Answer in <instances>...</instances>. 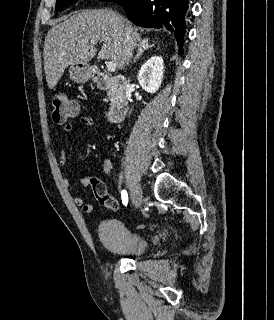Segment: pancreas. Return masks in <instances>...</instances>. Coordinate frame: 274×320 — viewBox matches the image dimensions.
Returning <instances> with one entry per match:
<instances>
[{"instance_id":"1","label":"pancreas","mask_w":274,"mask_h":320,"mask_svg":"<svg viewBox=\"0 0 274 320\" xmlns=\"http://www.w3.org/2000/svg\"><path fill=\"white\" fill-rule=\"evenodd\" d=\"M107 96H108L109 100H112V98H116V96H117L116 88H110V90H107Z\"/></svg>"}]
</instances>
